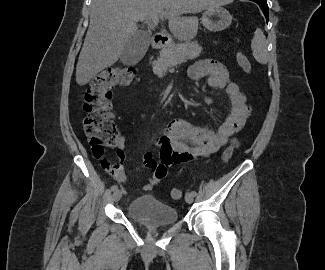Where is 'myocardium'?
<instances>
[{"label": "myocardium", "instance_id": "f54148a6", "mask_svg": "<svg viewBox=\"0 0 325 270\" xmlns=\"http://www.w3.org/2000/svg\"><path fill=\"white\" fill-rule=\"evenodd\" d=\"M218 2L228 1V0H217Z\"/></svg>", "mask_w": 325, "mask_h": 270}]
</instances>
